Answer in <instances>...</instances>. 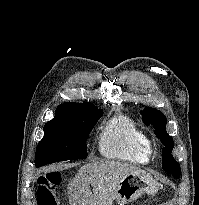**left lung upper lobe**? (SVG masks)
Here are the masks:
<instances>
[{"instance_id": "1", "label": "left lung upper lobe", "mask_w": 199, "mask_h": 205, "mask_svg": "<svg viewBox=\"0 0 199 205\" xmlns=\"http://www.w3.org/2000/svg\"><path fill=\"white\" fill-rule=\"evenodd\" d=\"M142 118L146 125L152 124L154 126V133L165 145L162 152V168L164 171L173 174L176 178H179L181 169L179 163L174 159L171 154L174 141L171 136L166 132L167 119L165 115L154 108L147 107L142 111Z\"/></svg>"}]
</instances>
